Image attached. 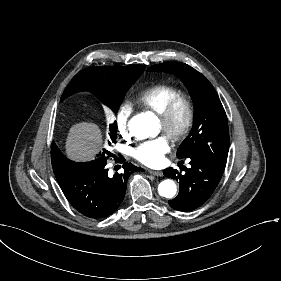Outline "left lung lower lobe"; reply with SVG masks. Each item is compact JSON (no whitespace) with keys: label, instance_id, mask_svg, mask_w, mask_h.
I'll use <instances>...</instances> for the list:
<instances>
[{"label":"left lung lower lobe","instance_id":"1","mask_svg":"<svg viewBox=\"0 0 281 281\" xmlns=\"http://www.w3.org/2000/svg\"><path fill=\"white\" fill-rule=\"evenodd\" d=\"M188 159L191 167L185 168L184 175L172 168L163 171L165 176L180 181L178 195L168 201L172 208L179 211H192L205 203L217 187L225 169L202 156H191Z\"/></svg>","mask_w":281,"mask_h":281}]
</instances>
